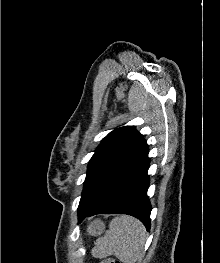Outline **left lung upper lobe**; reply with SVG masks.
Segmentation results:
<instances>
[{
    "instance_id": "1",
    "label": "left lung upper lobe",
    "mask_w": 220,
    "mask_h": 263,
    "mask_svg": "<svg viewBox=\"0 0 220 263\" xmlns=\"http://www.w3.org/2000/svg\"><path fill=\"white\" fill-rule=\"evenodd\" d=\"M148 149L143 135L134 126L110 132L89 161L78 211L92 207Z\"/></svg>"
}]
</instances>
